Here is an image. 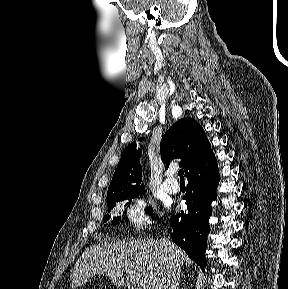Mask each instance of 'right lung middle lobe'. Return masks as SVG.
<instances>
[{"label":"right lung middle lobe","instance_id":"obj_1","mask_svg":"<svg viewBox=\"0 0 288 289\" xmlns=\"http://www.w3.org/2000/svg\"><path fill=\"white\" fill-rule=\"evenodd\" d=\"M145 193L144 187L137 188V189H128V190H119V191H112L107 192V204L109 206V210L113 209L117 202L123 201V200H129L136 198L140 195H143ZM147 212L149 214L152 213V209L148 208ZM111 218L110 215L104 216V221H108ZM121 220V217H114L112 220V223H116L117 221Z\"/></svg>","mask_w":288,"mask_h":289}]
</instances>
